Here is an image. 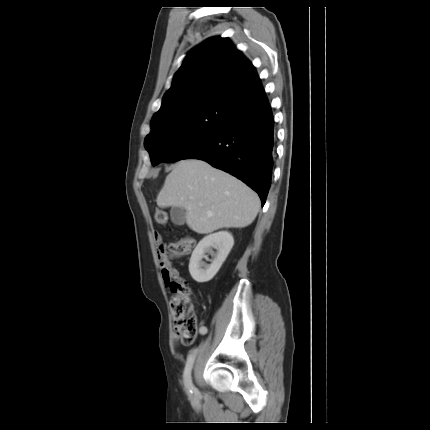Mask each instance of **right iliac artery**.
<instances>
[{"mask_svg": "<svg viewBox=\"0 0 430 430\" xmlns=\"http://www.w3.org/2000/svg\"><path fill=\"white\" fill-rule=\"evenodd\" d=\"M205 334H206L205 330H200V335H205ZM196 351H197V349H193L189 353V355L187 357V362L185 365L184 373H183V380H184V384H185V387L187 389L188 394L192 393V390H193V384H192V380H191V370H192Z\"/></svg>", "mask_w": 430, "mask_h": 430, "instance_id": "1", "label": "right iliac artery"}]
</instances>
